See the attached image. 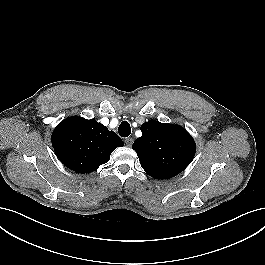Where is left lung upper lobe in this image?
<instances>
[{
    "label": "left lung upper lobe",
    "mask_w": 265,
    "mask_h": 265,
    "mask_svg": "<svg viewBox=\"0 0 265 265\" xmlns=\"http://www.w3.org/2000/svg\"><path fill=\"white\" fill-rule=\"evenodd\" d=\"M142 136L132 148L142 168L155 179H168L182 172L192 161L196 145L181 126L149 120L141 125Z\"/></svg>",
    "instance_id": "1"
}]
</instances>
